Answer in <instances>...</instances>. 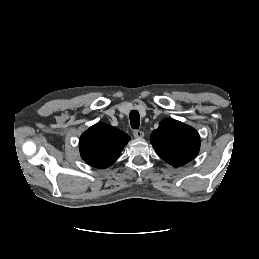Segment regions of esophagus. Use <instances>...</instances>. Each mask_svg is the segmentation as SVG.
I'll use <instances>...</instances> for the list:
<instances>
[{"label":"esophagus","mask_w":259,"mask_h":259,"mask_svg":"<svg viewBox=\"0 0 259 259\" xmlns=\"http://www.w3.org/2000/svg\"><path fill=\"white\" fill-rule=\"evenodd\" d=\"M133 135L135 138H142L144 137V132H142L141 130H134Z\"/></svg>","instance_id":"1"}]
</instances>
